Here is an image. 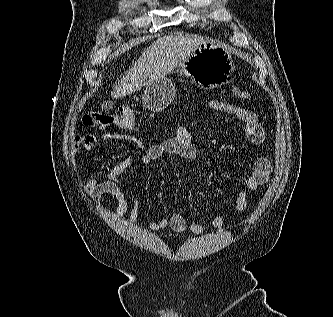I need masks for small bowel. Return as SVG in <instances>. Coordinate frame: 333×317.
<instances>
[{
  "label": "small bowel",
  "mask_w": 333,
  "mask_h": 317,
  "mask_svg": "<svg viewBox=\"0 0 333 317\" xmlns=\"http://www.w3.org/2000/svg\"><path fill=\"white\" fill-rule=\"evenodd\" d=\"M207 106L217 112L226 113L234 116L244 125L247 138L255 145H260L265 141L266 135L258 116L250 109L223 102L211 100L207 102ZM103 142L107 141H130L139 147H143L142 142L133 135L116 134L106 132L101 136ZM95 141L92 135L76 136L72 142L71 152L73 155L78 154L79 149L83 148L84 156L88 152ZM175 155L180 158L197 162L200 160L199 152L192 142L191 134L188 128L183 124L181 119L178 120L176 132L174 136L162 140L147 148L142 155L140 161L144 166H150L154 162L166 157ZM134 163V157L128 156L109 171L105 180L99 181L91 178L85 185L86 192L95 201L99 202L103 196H110L117 202L116 216L118 219L129 215L132 223L138 222V200L133 195L128 199L120 186L122 174L128 170ZM272 171L271 162L260 157L254 161L247 162V177L243 187H241L235 198V212L241 214L248 206V193L255 192L260 186L266 184L270 178ZM224 215L219 213L212 219V226L220 229L224 226ZM150 231H158L161 229H171L175 232L182 233L186 230L195 234L205 232V227L199 223H188L181 213H174L170 217H163L157 221L148 223Z\"/></svg>",
  "instance_id": "obj_1"
}]
</instances>
